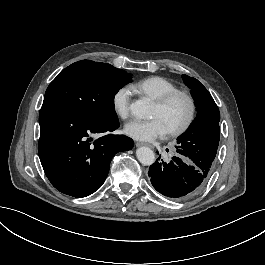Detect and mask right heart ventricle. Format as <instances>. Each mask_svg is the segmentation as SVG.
Wrapping results in <instances>:
<instances>
[{
  "instance_id": "e07e8e85",
  "label": "right heart ventricle",
  "mask_w": 265,
  "mask_h": 265,
  "mask_svg": "<svg viewBox=\"0 0 265 265\" xmlns=\"http://www.w3.org/2000/svg\"><path fill=\"white\" fill-rule=\"evenodd\" d=\"M129 87L136 93L156 102L165 95L177 91L178 87L169 79L162 76H149L137 79Z\"/></svg>"
}]
</instances>
